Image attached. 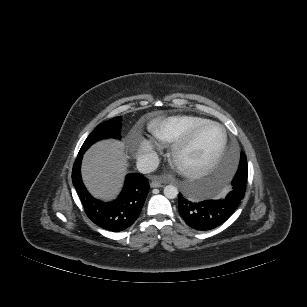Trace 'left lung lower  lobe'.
Masks as SVG:
<instances>
[{"mask_svg": "<svg viewBox=\"0 0 307 307\" xmlns=\"http://www.w3.org/2000/svg\"><path fill=\"white\" fill-rule=\"evenodd\" d=\"M240 168L247 170V159L243 152L240 156ZM233 181V180H232ZM232 190L224 199L195 201L191 197L178 194V209L185 222L196 230L214 229L224 223L237 209L244 198L245 189L240 182L233 183Z\"/></svg>", "mask_w": 307, "mask_h": 307, "instance_id": "1", "label": "left lung lower lobe"}]
</instances>
